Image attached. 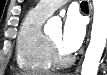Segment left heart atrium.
I'll return each instance as SVG.
<instances>
[{
  "mask_svg": "<svg viewBox=\"0 0 107 75\" xmlns=\"http://www.w3.org/2000/svg\"><path fill=\"white\" fill-rule=\"evenodd\" d=\"M85 37V25L82 18L75 12H69L64 23L61 37L63 49L72 53L77 51Z\"/></svg>",
  "mask_w": 107,
  "mask_h": 75,
  "instance_id": "obj_1",
  "label": "left heart atrium"
}]
</instances>
